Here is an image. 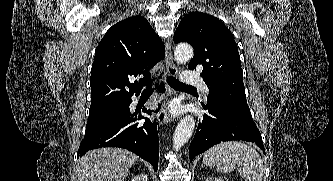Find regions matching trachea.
I'll list each match as a JSON object with an SVG mask.
<instances>
[{"label": "trachea", "mask_w": 333, "mask_h": 181, "mask_svg": "<svg viewBox=\"0 0 333 181\" xmlns=\"http://www.w3.org/2000/svg\"><path fill=\"white\" fill-rule=\"evenodd\" d=\"M161 77V75H160ZM167 81L168 84L174 88V89H178V90H184V89H196L195 87L192 86H188L186 84H183L182 82H179L176 78H174L173 76H168L167 77ZM153 88L150 85V83L148 84V86L146 87V89H144L143 92H152Z\"/></svg>", "instance_id": "obj_1"}]
</instances>
